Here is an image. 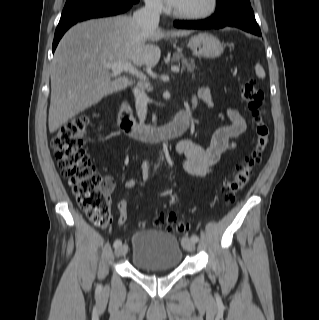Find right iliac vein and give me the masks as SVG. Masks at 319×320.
Segmentation results:
<instances>
[{
  "label": "right iliac vein",
  "instance_id": "63e3f726",
  "mask_svg": "<svg viewBox=\"0 0 319 320\" xmlns=\"http://www.w3.org/2000/svg\"><path fill=\"white\" fill-rule=\"evenodd\" d=\"M127 248L128 247L126 244H123V245H120L119 247H117L115 250L116 257H120V256H123L124 254H126Z\"/></svg>",
  "mask_w": 319,
  "mask_h": 320
}]
</instances>
